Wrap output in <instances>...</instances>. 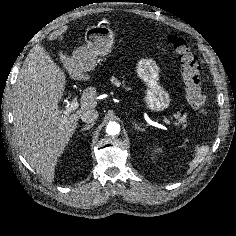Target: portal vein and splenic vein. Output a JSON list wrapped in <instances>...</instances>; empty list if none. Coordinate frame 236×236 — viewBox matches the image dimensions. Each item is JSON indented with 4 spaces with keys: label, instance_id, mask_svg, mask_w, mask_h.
I'll use <instances>...</instances> for the list:
<instances>
[{
    "label": "portal vein and splenic vein",
    "instance_id": "18ae733b",
    "mask_svg": "<svg viewBox=\"0 0 236 236\" xmlns=\"http://www.w3.org/2000/svg\"><path fill=\"white\" fill-rule=\"evenodd\" d=\"M78 107H79V104H78L76 98H73L71 103L68 106H66L62 112L64 115H69L70 113L75 111ZM162 120L166 125H169V126L171 125L170 120L167 119L166 117H163Z\"/></svg>",
    "mask_w": 236,
    "mask_h": 236
}]
</instances>
